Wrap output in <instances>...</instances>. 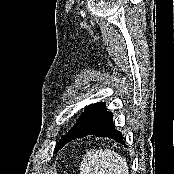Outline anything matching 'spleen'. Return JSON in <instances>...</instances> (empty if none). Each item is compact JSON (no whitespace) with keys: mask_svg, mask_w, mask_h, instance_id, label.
<instances>
[{"mask_svg":"<svg viewBox=\"0 0 175 174\" xmlns=\"http://www.w3.org/2000/svg\"><path fill=\"white\" fill-rule=\"evenodd\" d=\"M80 171V174H129L125 158L109 149L87 151Z\"/></svg>","mask_w":175,"mask_h":174,"instance_id":"1","label":"spleen"}]
</instances>
